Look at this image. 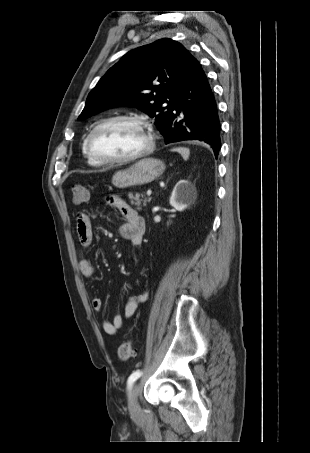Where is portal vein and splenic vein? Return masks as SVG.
Masks as SVG:
<instances>
[{"label": "portal vein and splenic vein", "mask_w": 310, "mask_h": 453, "mask_svg": "<svg viewBox=\"0 0 310 453\" xmlns=\"http://www.w3.org/2000/svg\"><path fill=\"white\" fill-rule=\"evenodd\" d=\"M151 194H152V191H151V190H148V191H147V196H151Z\"/></svg>", "instance_id": "portal-vein-and-splenic-vein-1"}]
</instances>
